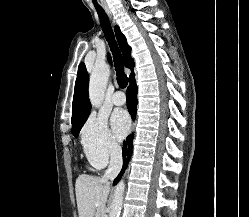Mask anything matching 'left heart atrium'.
<instances>
[{
  "label": "left heart atrium",
  "instance_id": "39dd6f15",
  "mask_svg": "<svg viewBox=\"0 0 249 217\" xmlns=\"http://www.w3.org/2000/svg\"><path fill=\"white\" fill-rule=\"evenodd\" d=\"M112 128L117 138L122 139L130 128V118L124 110H116L111 118Z\"/></svg>",
  "mask_w": 249,
  "mask_h": 217
}]
</instances>
